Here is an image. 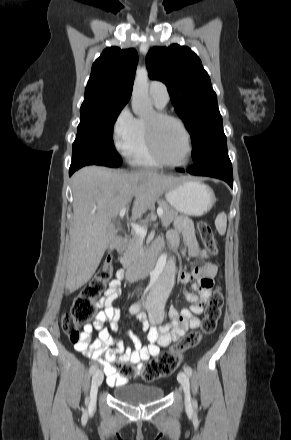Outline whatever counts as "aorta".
Returning <instances> with one entry per match:
<instances>
[{
	"instance_id": "obj_1",
	"label": "aorta",
	"mask_w": 291,
	"mask_h": 440,
	"mask_svg": "<svg viewBox=\"0 0 291 440\" xmlns=\"http://www.w3.org/2000/svg\"><path fill=\"white\" fill-rule=\"evenodd\" d=\"M148 71L145 67L137 70L132 93V110L135 115L143 117L153 110L152 100L148 94ZM174 283V269L167 262L160 271H156L152 278L147 303L149 305L164 302Z\"/></svg>"
}]
</instances>
